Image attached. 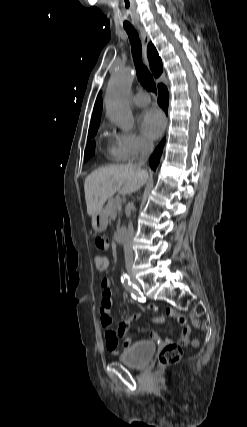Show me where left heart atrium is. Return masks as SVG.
<instances>
[{
  "mask_svg": "<svg viewBox=\"0 0 247 427\" xmlns=\"http://www.w3.org/2000/svg\"><path fill=\"white\" fill-rule=\"evenodd\" d=\"M140 127L147 138L156 139L164 130L165 119L159 110L147 109L140 117Z\"/></svg>",
  "mask_w": 247,
  "mask_h": 427,
  "instance_id": "left-heart-atrium-1",
  "label": "left heart atrium"
}]
</instances>
